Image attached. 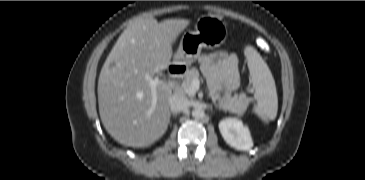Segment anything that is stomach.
<instances>
[{
	"mask_svg": "<svg viewBox=\"0 0 365 180\" xmlns=\"http://www.w3.org/2000/svg\"><path fill=\"white\" fill-rule=\"evenodd\" d=\"M228 31L219 18L203 16L195 23V30L185 32L173 56L174 65L189 66L200 55L202 48H217L225 43Z\"/></svg>",
	"mask_w": 365,
	"mask_h": 180,
	"instance_id": "0dacf381",
	"label": "stomach"
}]
</instances>
